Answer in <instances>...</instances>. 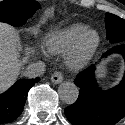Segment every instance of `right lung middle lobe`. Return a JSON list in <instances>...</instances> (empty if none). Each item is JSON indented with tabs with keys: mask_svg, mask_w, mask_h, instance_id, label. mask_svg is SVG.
<instances>
[{
	"mask_svg": "<svg viewBox=\"0 0 125 125\" xmlns=\"http://www.w3.org/2000/svg\"><path fill=\"white\" fill-rule=\"evenodd\" d=\"M40 8L34 0H6L0 2V21L13 26L24 25Z\"/></svg>",
	"mask_w": 125,
	"mask_h": 125,
	"instance_id": "dd1d6c3e",
	"label": "right lung middle lobe"
}]
</instances>
